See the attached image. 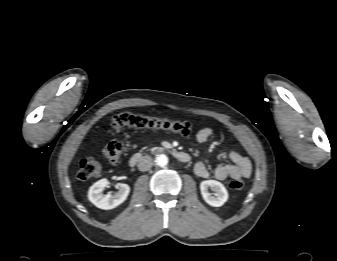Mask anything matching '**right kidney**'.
Returning a JSON list of instances; mask_svg holds the SVG:
<instances>
[{"mask_svg": "<svg viewBox=\"0 0 337 261\" xmlns=\"http://www.w3.org/2000/svg\"><path fill=\"white\" fill-rule=\"evenodd\" d=\"M109 181L101 179L94 183L88 191V199L98 208L109 210L123 203L130 192V187L127 184H118V192L114 195L103 194V190L108 187Z\"/></svg>", "mask_w": 337, "mask_h": 261, "instance_id": "1", "label": "right kidney"}]
</instances>
